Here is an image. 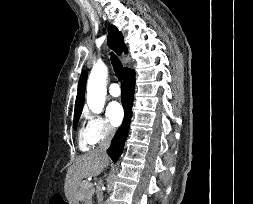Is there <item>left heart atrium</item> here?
<instances>
[{
    "label": "left heart atrium",
    "mask_w": 253,
    "mask_h": 204,
    "mask_svg": "<svg viewBox=\"0 0 253 204\" xmlns=\"http://www.w3.org/2000/svg\"><path fill=\"white\" fill-rule=\"evenodd\" d=\"M107 116L113 126H118L123 120L124 111L118 102H112L106 109Z\"/></svg>",
    "instance_id": "left-heart-atrium-1"
}]
</instances>
